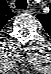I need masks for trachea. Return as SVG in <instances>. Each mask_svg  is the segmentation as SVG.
<instances>
[{
  "instance_id": "obj_1",
  "label": "trachea",
  "mask_w": 51,
  "mask_h": 74,
  "mask_svg": "<svg viewBox=\"0 0 51 74\" xmlns=\"http://www.w3.org/2000/svg\"><path fill=\"white\" fill-rule=\"evenodd\" d=\"M16 8L17 9H26L27 1L26 0H16Z\"/></svg>"
}]
</instances>
